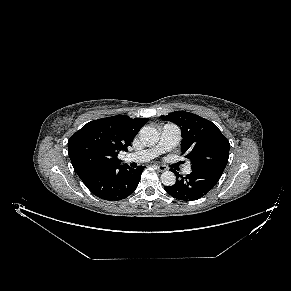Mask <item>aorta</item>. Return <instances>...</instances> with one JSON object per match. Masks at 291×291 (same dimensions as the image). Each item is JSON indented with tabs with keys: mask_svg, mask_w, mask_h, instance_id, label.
<instances>
[{
	"mask_svg": "<svg viewBox=\"0 0 291 291\" xmlns=\"http://www.w3.org/2000/svg\"><path fill=\"white\" fill-rule=\"evenodd\" d=\"M140 140L143 143L154 145L159 140V132L152 126H143L139 132ZM161 181L165 186H173L176 182V176L171 171H165L161 175Z\"/></svg>",
	"mask_w": 291,
	"mask_h": 291,
	"instance_id": "762f6f07",
	"label": "aorta"
}]
</instances>
